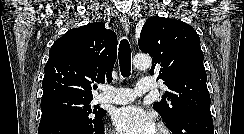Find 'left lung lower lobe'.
<instances>
[{
	"instance_id": "obj_1",
	"label": "left lung lower lobe",
	"mask_w": 244,
	"mask_h": 134,
	"mask_svg": "<svg viewBox=\"0 0 244 134\" xmlns=\"http://www.w3.org/2000/svg\"><path fill=\"white\" fill-rule=\"evenodd\" d=\"M167 127L172 134H214L212 117L194 112L180 115Z\"/></svg>"
}]
</instances>
